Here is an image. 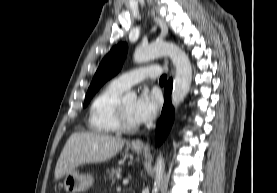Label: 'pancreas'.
I'll use <instances>...</instances> for the list:
<instances>
[{
  "mask_svg": "<svg viewBox=\"0 0 277 193\" xmlns=\"http://www.w3.org/2000/svg\"><path fill=\"white\" fill-rule=\"evenodd\" d=\"M121 175V169L120 168H112L110 170L106 171V177L109 178L111 183H115L116 179L118 180Z\"/></svg>",
  "mask_w": 277,
  "mask_h": 193,
  "instance_id": "1",
  "label": "pancreas"
}]
</instances>
